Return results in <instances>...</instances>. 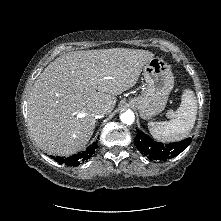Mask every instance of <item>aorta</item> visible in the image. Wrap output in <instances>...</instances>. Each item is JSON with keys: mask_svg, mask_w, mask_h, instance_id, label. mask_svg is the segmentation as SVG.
Here are the masks:
<instances>
[{"mask_svg": "<svg viewBox=\"0 0 221 221\" xmlns=\"http://www.w3.org/2000/svg\"><path fill=\"white\" fill-rule=\"evenodd\" d=\"M120 119L124 124L131 125L135 120V115L132 110H127L120 115Z\"/></svg>", "mask_w": 221, "mask_h": 221, "instance_id": "aorta-1", "label": "aorta"}]
</instances>
